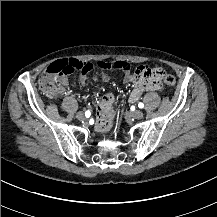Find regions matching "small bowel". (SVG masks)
<instances>
[{"label":"small bowel","mask_w":217,"mask_h":217,"mask_svg":"<svg viewBox=\"0 0 217 217\" xmlns=\"http://www.w3.org/2000/svg\"><path fill=\"white\" fill-rule=\"evenodd\" d=\"M61 78L63 81H64V88L65 89V86H66V83H67V79L65 77H59ZM94 80H103V81H106L108 80V75L104 72H96L94 73L93 77H92ZM88 80V76L86 74H82L80 76V82L82 84H84L86 81ZM124 82L125 83H135L133 89L131 90V92L129 93L128 95V101L130 103H135L139 98L140 96L142 95L143 91H144V88L143 86H141L136 80L135 78L127 73L124 77ZM63 89L61 91H63ZM114 102V95L112 93H106L104 94L100 101L97 103V109L98 111L99 110H102V109H105V108H110L112 106Z\"/></svg>","instance_id":"small-bowel-1"}]
</instances>
